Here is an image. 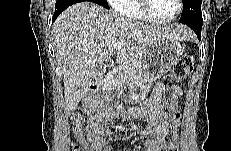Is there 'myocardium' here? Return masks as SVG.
<instances>
[{"label": "myocardium", "instance_id": "obj_1", "mask_svg": "<svg viewBox=\"0 0 231 151\" xmlns=\"http://www.w3.org/2000/svg\"><path fill=\"white\" fill-rule=\"evenodd\" d=\"M150 0H140V9L142 14L151 22L157 23V24H169L175 21L179 15L181 14L182 11V5L183 1L182 0H176V5H177V10L175 14L167 19H160L152 15L150 11Z\"/></svg>", "mask_w": 231, "mask_h": 151}]
</instances>
